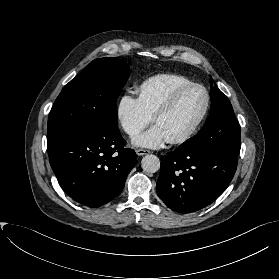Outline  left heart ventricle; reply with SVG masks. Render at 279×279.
Returning a JSON list of instances; mask_svg holds the SVG:
<instances>
[{
	"label": "left heart ventricle",
	"instance_id": "b2bd125f",
	"mask_svg": "<svg viewBox=\"0 0 279 279\" xmlns=\"http://www.w3.org/2000/svg\"><path fill=\"white\" fill-rule=\"evenodd\" d=\"M205 93L198 88L186 91L178 100L174 108L165 116L157 120L169 139L183 135L194 124L203 110Z\"/></svg>",
	"mask_w": 279,
	"mask_h": 279
}]
</instances>
